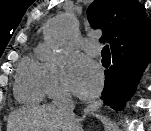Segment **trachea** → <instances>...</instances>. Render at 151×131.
<instances>
[{"instance_id":"3493384b","label":"trachea","mask_w":151,"mask_h":131,"mask_svg":"<svg viewBox=\"0 0 151 131\" xmlns=\"http://www.w3.org/2000/svg\"><path fill=\"white\" fill-rule=\"evenodd\" d=\"M101 55H102V61H107V62L111 61V54H110V50H109V46L108 45H106L102 49Z\"/></svg>"}]
</instances>
